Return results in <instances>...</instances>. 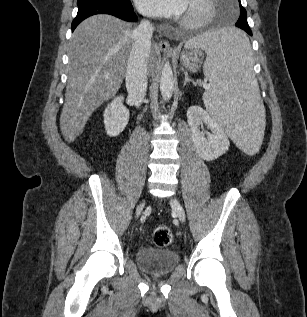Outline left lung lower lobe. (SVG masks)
<instances>
[{"label":"left lung lower lobe","instance_id":"left-lung-lower-lobe-1","mask_svg":"<svg viewBox=\"0 0 307 317\" xmlns=\"http://www.w3.org/2000/svg\"><path fill=\"white\" fill-rule=\"evenodd\" d=\"M241 29L244 30L245 32H247L250 36H252V31H251L250 27L243 26ZM227 44L230 45L234 50H236L238 52L243 51L246 47V42L242 38L237 37V36H233V37L229 38L227 40Z\"/></svg>","mask_w":307,"mask_h":317}]
</instances>
